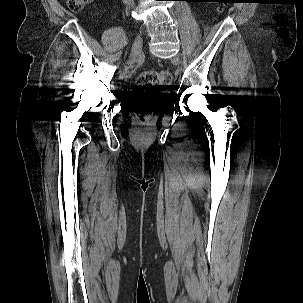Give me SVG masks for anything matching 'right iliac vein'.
Returning a JSON list of instances; mask_svg holds the SVG:
<instances>
[{
	"label": "right iliac vein",
	"instance_id": "63e3f726",
	"mask_svg": "<svg viewBox=\"0 0 303 303\" xmlns=\"http://www.w3.org/2000/svg\"><path fill=\"white\" fill-rule=\"evenodd\" d=\"M142 44H143L142 36L141 34H138L132 46V50L130 54L131 58L134 59L141 53Z\"/></svg>",
	"mask_w": 303,
	"mask_h": 303
}]
</instances>
